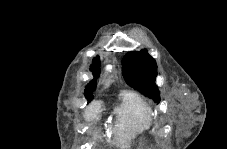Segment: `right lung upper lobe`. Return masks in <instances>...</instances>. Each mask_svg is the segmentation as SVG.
Wrapping results in <instances>:
<instances>
[{"label":"right lung upper lobe","instance_id":"right-lung-upper-lobe-1","mask_svg":"<svg viewBox=\"0 0 227 149\" xmlns=\"http://www.w3.org/2000/svg\"><path fill=\"white\" fill-rule=\"evenodd\" d=\"M90 70L94 75V79L87 84L85 88V96L90 99L92 97L93 91L96 89V80L99 77L100 74V59L99 56L95 57L92 60V65L90 66Z\"/></svg>","mask_w":227,"mask_h":149}]
</instances>
